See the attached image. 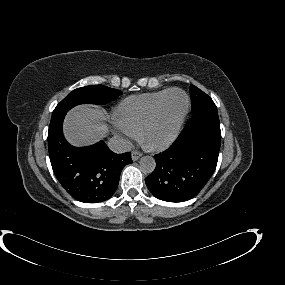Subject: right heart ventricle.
Masks as SVG:
<instances>
[{
  "instance_id": "e07e8e85",
  "label": "right heart ventricle",
  "mask_w": 285,
  "mask_h": 285,
  "mask_svg": "<svg viewBox=\"0 0 285 285\" xmlns=\"http://www.w3.org/2000/svg\"><path fill=\"white\" fill-rule=\"evenodd\" d=\"M169 89L133 95L122 100L117 108L118 121L138 135L157 104Z\"/></svg>"
}]
</instances>
